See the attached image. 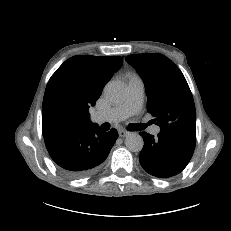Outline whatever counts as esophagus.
<instances>
[{
  "label": "esophagus",
  "mask_w": 231,
  "mask_h": 231,
  "mask_svg": "<svg viewBox=\"0 0 231 231\" xmlns=\"http://www.w3.org/2000/svg\"><path fill=\"white\" fill-rule=\"evenodd\" d=\"M128 134H129V132L124 130V129L119 130V136L120 137H126Z\"/></svg>",
  "instance_id": "1"
}]
</instances>
